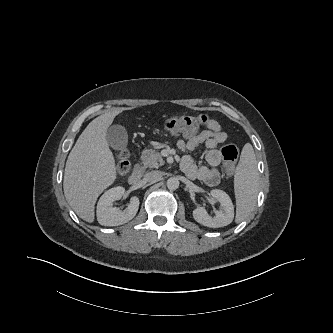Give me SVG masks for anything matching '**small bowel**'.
Masks as SVG:
<instances>
[{
	"label": "small bowel",
	"instance_id": "1",
	"mask_svg": "<svg viewBox=\"0 0 333 333\" xmlns=\"http://www.w3.org/2000/svg\"><path fill=\"white\" fill-rule=\"evenodd\" d=\"M226 140L227 135L216 120H209L206 128L199 134L187 136L185 140H178V148L185 153L181 160L184 173L189 178L198 179L210 187L217 186L221 180L220 172L217 169L221 163V153L217 147ZM201 144L208 149L206 160L209 166L197 165L191 155V152Z\"/></svg>",
	"mask_w": 333,
	"mask_h": 333
}]
</instances>
